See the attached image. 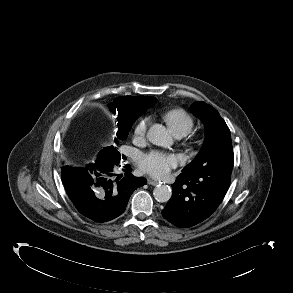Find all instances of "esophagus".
Segmentation results:
<instances>
[{"label": "esophagus", "mask_w": 293, "mask_h": 293, "mask_svg": "<svg viewBox=\"0 0 293 293\" xmlns=\"http://www.w3.org/2000/svg\"><path fill=\"white\" fill-rule=\"evenodd\" d=\"M160 182L157 180H153V179H148V184L152 185V186H157Z\"/></svg>", "instance_id": "1"}]
</instances>
